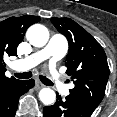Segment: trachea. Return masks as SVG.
<instances>
[{"label":"trachea","instance_id":"obj_1","mask_svg":"<svg viewBox=\"0 0 117 117\" xmlns=\"http://www.w3.org/2000/svg\"><path fill=\"white\" fill-rule=\"evenodd\" d=\"M14 75L19 79H28L32 76V72L29 71V72H23V73H15ZM39 78L42 81V83H44L45 85L53 86V83L46 77L40 75Z\"/></svg>","mask_w":117,"mask_h":117}]
</instances>
